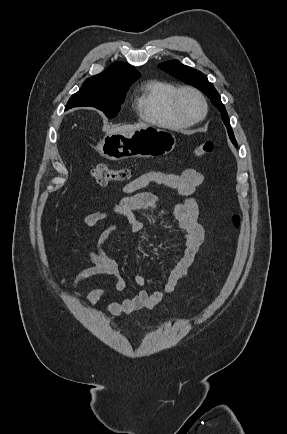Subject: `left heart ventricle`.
<instances>
[{"label":"left heart ventricle","mask_w":287,"mask_h":434,"mask_svg":"<svg viewBox=\"0 0 287 434\" xmlns=\"http://www.w3.org/2000/svg\"><path fill=\"white\" fill-rule=\"evenodd\" d=\"M180 106L183 113L190 118H196L202 112L200 101L191 93H185L181 97Z\"/></svg>","instance_id":"1"}]
</instances>
